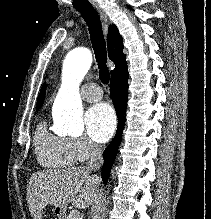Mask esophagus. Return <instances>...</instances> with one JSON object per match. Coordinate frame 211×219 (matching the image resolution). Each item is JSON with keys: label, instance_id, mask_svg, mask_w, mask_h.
Returning <instances> with one entry per match:
<instances>
[{"label": "esophagus", "instance_id": "obj_1", "mask_svg": "<svg viewBox=\"0 0 211 219\" xmlns=\"http://www.w3.org/2000/svg\"><path fill=\"white\" fill-rule=\"evenodd\" d=\"M93 7L96 9V11L99 13L101 19L104 22H107V14L105 11L98 5V4H93Z\"/></svg>", "mask_w": 211, "mask_h": 219}]
</instances>
